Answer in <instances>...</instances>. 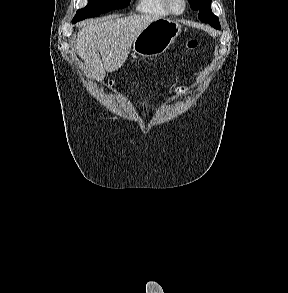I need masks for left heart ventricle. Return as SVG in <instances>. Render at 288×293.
<instances>
[{
	"instance_id": "left-heart-ventricle-1",
	"label": "left heart ventricle",
	"mask_w": 288,
	"mask_h": 293,
	"mask_svg": "<svg viewBox=\"0 0 288 293\" xmlns=\"http://www.w3.org/2000/svg\"><path fill=\"white\" fill-rule=\"evenodd\" d=\"M172 5L176 10H180L182 8L180 0H172Z\"/></svg>"
}]
</instances>
